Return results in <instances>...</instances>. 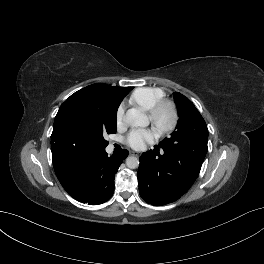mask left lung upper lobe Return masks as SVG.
I'll list each match as a JSON object with an SVG mask.
<instances>
[{
	"label": "left lung upper lobe",
	"instance_id": "left-lung-upper-lobe-1",
	"mask_svg": "<svg viewBox=\"0 0 264 264\" xmlns=\"http://www.w3.org/2000/svg\"><path fill=\"white\" fill-rule=\"evenodd\" d=\"M179 120L171 137L159 143L164 149L181 148L184 144L208 140V129L204 119L194 104L184 95L175 92Z\"/></svg>",
	"mask_w": 264,
	"mask_h": 264
}]
</instances>
